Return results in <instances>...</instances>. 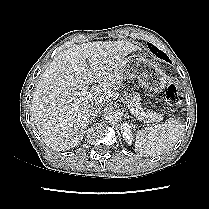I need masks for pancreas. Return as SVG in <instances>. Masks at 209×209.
Wrapping results in <instances>:
<instances>
[{
  "label": "pancreas",
  "instance_id": "obj_1",
  "mask_svg": "<svg viewBox=\"0 0 209 209\" xmlns=\"http://www.w3.org/2000/svg\"><path fill=\"white\" fill-rule=\"evenodd\" d=\"M125 102L129 108L135 110V116L141 121L155 124L161 122L163 119L162 114L143 109L140 105V96L137 93L130 94Z\"/></svg>",
  "mask_w": 209,
  "mask_h": 209
}]
</instances>
